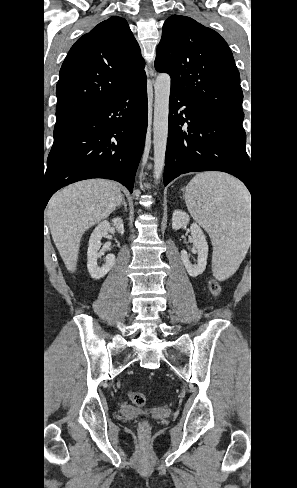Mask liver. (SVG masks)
Instances as JSON below:
<instances>
[{
  "label": "liver",
  "mask_w": 297,
  "mask_h": 488,
  "mask_svg": "<svg viewBox=\"0 0 297 488\" xmlns=\"http://www.w3.org/2000/svg\"><path fill=\"white\" fill-rule=\"evenodd\" d=\"M118 185L103 179L71 184L50 199L46 216L57 250L70 272L77 267L82 235L122 202Z\"/></svg>",
  "instance_id": "obj_1"
}]
</instances>
